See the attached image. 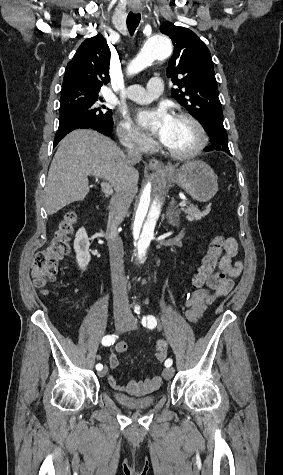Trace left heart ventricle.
I'll return each instance as SVG.
<instances>
[{
	"mask_svg": "<svg viewBox=\"0 0 283 475\" xmlns=\"http://www.w3.org/2000/svg\"><path fill=\"white\" fill-rule=\"evenodd\" d=\"M168 133V137L162 142L168 150L175 153L189 151L198 139L196 128L187 120L177 116L173 118Z\"/></svg>",
	"mask_w": 283,
	"mask_h": 475,
	"instance_id": "left-heart-ventricle-1",
	"label": "left heart ventricle"
}]
</instances>
